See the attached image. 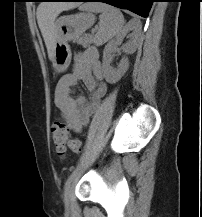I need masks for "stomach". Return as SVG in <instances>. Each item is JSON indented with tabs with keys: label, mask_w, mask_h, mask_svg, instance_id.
<instances>
[{
	"label": "stomach",
	"mask_w": 202,
	"mask_h": 217,
	"mask_svg": "<svg viewBox=\"0 0 202 217\" xmlns=\"http://www.w3.org/2000/svg\"><path fill=\"white\" fill-rule=\"evenodd\" d=\"M95 21L91 13L65 15L56 21V42L54 47L53 65L57 72L67 69L71 61L69 41L77 40Z\"/></svg>",
	"instance_id": "stomach-1"
}]
</instances>
